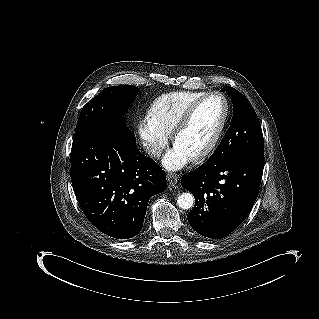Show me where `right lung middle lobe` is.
I'll return each mask as SVG.
<instances>
[{
  "label": "right lung middle lobe",
  "instance_id": "dd1d6c3e",
  "mask_svg": "<svg viewBox=\"0 0 319 319\" xmlns=\"http://www.w3.org/2000/svg\"><path fill=\"white\" fill-rule=\"evenodd\" d=\"M137 92V87L133 85L103 89L83 107L76 125L75 138L106 128L127 129L122 114L134 101Z\"/></svg>",
  "mask_w": 319,
  "mask_h": 319
}]
</instances>
